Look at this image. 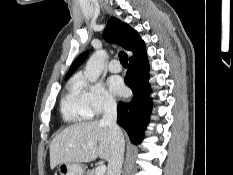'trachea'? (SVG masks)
I'll return each instance as SVG.
<instances>
[{
	"mask_svg": "<svg viewBox=\"0 0 233 175\" xmlns=\"http://www.w3.org/2000/svg\"><path fill=\"white\" fill-rule=\"evenodd\" d=\"M119 60L121 62V64L124 66V67H127L128 66V57H127V54L125 52H120L119 53Z\"/></svg>",
	"mask_w": 233,
	"mask_h": 175,
	"instance_id": "obj_1",
	"label": "trachea"
}]
</instances>
